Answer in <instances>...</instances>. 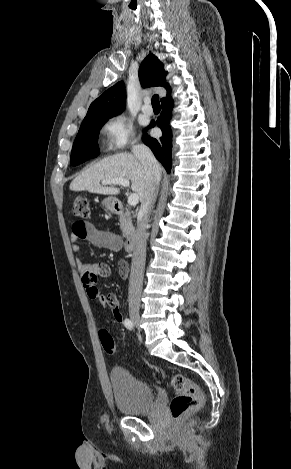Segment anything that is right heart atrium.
I'll use <instances>...</instances> for the list:
<instances>
[{"mask_svg": "<svg viewBox=\"0 0 291 469\" xmlns=\"http://www.w3.org/2000/svg\"><path fill=\"white\" fill-rule=\"evenodd\" d=\"M105 146L110 151H120L135 144L132 122L123 114L107 119L102 126Z\"/></svg>", "mask_w": 291, "mask_h": 469, "instance_id": "d8ad5b80", "label": "right heart atrium"}]
</instances>
